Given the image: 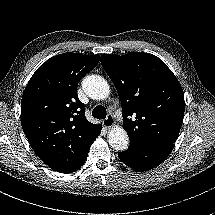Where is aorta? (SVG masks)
<instances>
[{
	"instance_id": "1",
	"label": "aorta",
	"mask_w": 215,
	"mask_h": 215,
	"mask_svg": "<svg viewBox=\"0 0 215 215\" xmlns=\"http://www.w3.org/2000/svg\"><path fill=\"white\" fill-rule=\"evenodd\" d=\"M84 81H86L88 85V95L93 99L105 100L110 97L111 88L104 78L90 75L86 77ZM108 141L115 150L124 151L129 145V136L124 128L116 126L109 131Z\"/></svg>"
}]
</instances>
